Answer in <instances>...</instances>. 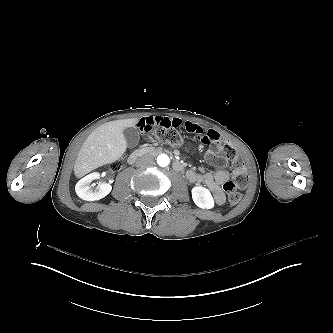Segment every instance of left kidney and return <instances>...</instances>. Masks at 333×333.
<instances>
[{"label":"left kidney","mask_w":333,"mask_h":333,"mask_svg":"<svg viewBox=\"0 0 333 333\" xmlns=\"http://www.w3.org/2000/svg\"><path fill=\"white\" fill-rule=\"evenodd\" d=\"M192 198L194 203L202 209L214 207V200L210 191L202 186H196L192 189Z\"/></svg>","instance_id":"left-kidney-1"}]
</instances>
